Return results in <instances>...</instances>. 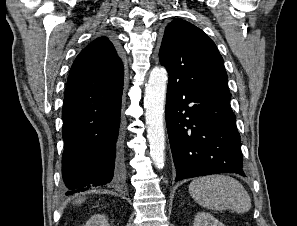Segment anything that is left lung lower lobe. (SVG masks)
<instances>
[{
	"label": "left lung lower lobe",
	"instance_id": "obj_1",
	"mask_svg": "<svg viewBox=\"0 0 297 226\" xmlns=\"http://www.w3.org/2000/svg\"><path fill=\"white\" fill-rule=\"evenodd\" d=\"M231 93L197 90L169 78L166 124L176 181L217 173L246 176Z\"/></svg>",
	"mask_w": 297,
	"mask_h": 226
}]
</instances>
